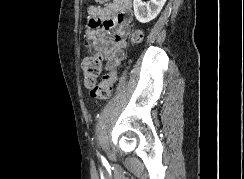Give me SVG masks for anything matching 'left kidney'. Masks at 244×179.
Wrapping results in <instances>:
<instances>
[{
    "instance_id": "obj_1",
    "label": "left kidney",
    "mask_w": 244,
    "mask_h": 179,
    "mask_svg": "<svg viewBox=\"0 0 244 179\" xmlns=\"http://www.w3.org/2000/svg\"><path fill=\"white\" fill-rule=\"evenodd\" d=\"M151 4H144L142 0H134V16L141 24H147L160 14L166 0H150Z\"/></svg>"
}]
</instances>
